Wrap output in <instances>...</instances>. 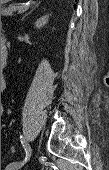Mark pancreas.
<instances>
[{
    "label": "pancreas",
    "mask_w": 109,
    "mask_h": 170,
    "mask_svg": "<svg viewBox=\"0 0 109 170\" xmlns=\"http://www.w3.org/2000/svg\"><path fill=\"white\" fill-rule=\"evenodd\" d=\"M20 5H9L6 8H2L1 9V15L2 16H12L14 14V12H16L17 10H19Z\"/></svg>",
    "instance_id": "1"
}]
</instances>
